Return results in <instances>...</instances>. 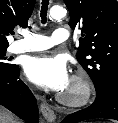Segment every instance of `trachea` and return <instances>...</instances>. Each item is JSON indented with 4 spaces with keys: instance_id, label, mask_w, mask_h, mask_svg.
Returning <instances> with one entry per match:
<instances>
[{
    "instance_id": "3493384b",
    "label": "trachea",
    "mask_w": 118,
    "mask_h": 123,
    "mask_svg": "<svg viewBox=\"0 0 118 123\" xmlns=\"http://www.w3.org/2000/svg\"><path fill=\"white\" fill-rule=\"evenodd\" d=\"M48 5H49V0H42L40 17L43 24H45L47 20Z\"/></svg>"
}]
</instances>
